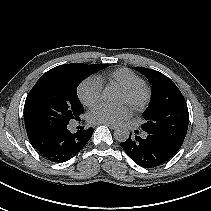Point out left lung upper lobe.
Here are the masks:
<instances>
[{"mask_svg": "<svg viewBox=\"0 0 211 211\" xmlns=\"http://www.w3.org/2000/svg\"><path fill=\"white\" fill-rule=\"evenodd\" d=\"M134 69L144 74L152 84L151 101L143 112L145 123L141 126L142 130L180 148L189 123L188 108L182 93L164 74L144 67Z\"/></svg>", "mask_w": 211, "mask_h": 211, "instance_id": "5c2ea615", "label": "left lung upper lobe"}]
</instances>
